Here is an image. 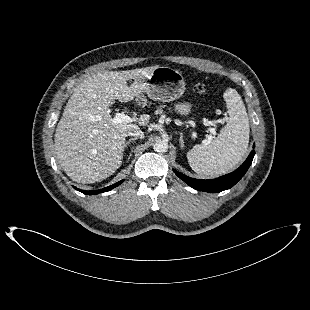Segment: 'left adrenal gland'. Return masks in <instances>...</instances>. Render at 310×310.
<instances>
[{
  "mask_svg": "<svg viewBox=\"0 0 310 310\" xmlns=\"http://www.w3.org/2000/svg\"><path fill=\"white\" fill-rule=\"evenodd\" d=\"M179 142H180V147L183 148L184 147V140H183V134L182 133H180Z\"/></svg>",
  "mask_w": 310,
  "mask_h": 310,
  "instance_id": "obj_1",
  "label": "left adrenal gland"
}]
</instances>
